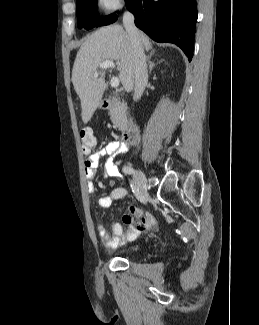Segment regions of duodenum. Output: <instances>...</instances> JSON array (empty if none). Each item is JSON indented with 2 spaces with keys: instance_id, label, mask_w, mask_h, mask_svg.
Instances as JSON below:
<instances>
[{
  "instance_id": "obj_1",
  "label": "duodenum",
  "mask_w": 259,
  "mask_h": 325,
  "mask_svg": "<svg viewBox=\"0 0 259 325\" xmlns=\"http://www.w3.org/2000/svg\"><path fill=\"white\" fill-rule=\"evenodd\" d=\"M111 106H112V100L110 98H104L101 103V107L104 110H106V109H109ZM138 134H139L138 126L135 123L130 122L126 126V128L123 132L122 143L128 144V143L133 142L137 138Z\"/></svg>"
}]
</instances>
